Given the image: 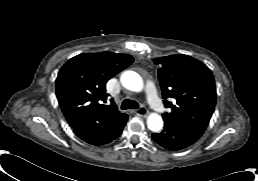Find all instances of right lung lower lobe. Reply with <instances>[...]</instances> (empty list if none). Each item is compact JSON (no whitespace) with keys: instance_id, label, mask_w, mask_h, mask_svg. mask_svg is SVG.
<instances>
[{"instance_id":"obj_1","label":"right lung lower lobe","mask_w":258,"mask_h":181,"mask_svg":"<svg viewBox=\"0 0 258 181\" xmlns=\"http://www.w3.org/2000/svg\"><path fill=\"white\" fill-rule=\"evenodd\" d=\"M127 119L128 115L124 114L116 119L85 128H76L73 131L85 142L99 146L107 144L120 136Z\"/></svg>"}]
</instances>
